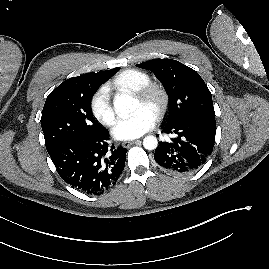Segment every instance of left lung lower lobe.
<instances>
[{"mask_svg": "<svg viewBox=\"0 0 269 269\" xmlns=\"http://www.w3.org/2000/svg\"><path fill=\"white\" fill-rule=\"evenodd\" d=\"M163 132L176 137L171 142H160L155 161L169 172L190 174L200 169L213 151L215 117H192L166 124Z\"/></svg>", "mask_w": 269, "mask_h": 269, "instance_id": "obj_1", "label": "left lung lower lobe"}]
</instances>
